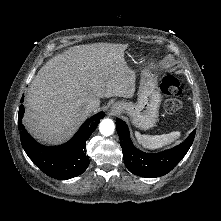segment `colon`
I'll list each match as a JSON object with an SVG mask.
<instances>
[{
  "instance_id": "1",
  "label": "colon",
  "mask_w": 221,
  "mask_h": 221,
  "mask_svg": "<svg viewBox=\"0 0 221 221\" xmlns=\"http://www.w3.org/2000/svg\"><path fill=\"white\" fill-rule=\"evenodd\" d=\"M161 90L167 96L164 103L165 111L177 112L181 108V101L178 98L182 92L179 80L171 75L165 76L161 82Z\"/></svg>"
}]
</instances>
